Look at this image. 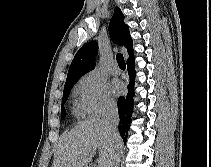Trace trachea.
Instances as JSON below:
<instances>
[{
  "label": "trachea",
  "mask_w": 211,
  "mask_h": 167,
  "mask_svg": "<svg viewBox=\"0 0 211 167\" xmlns=\"http://www.w3.org/2000/svg\"><path fill=\"white\" fill-rule=\"evenodd\" d=\"M116 60H117L120 68H122V69L126 68V63H125V60H124V57L122 54H117Z\"/></svg>",
  "instance_id": "trachea-1"
}]
</instances>
